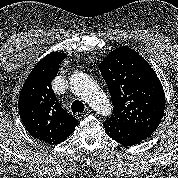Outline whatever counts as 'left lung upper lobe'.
I'll return each instance as SVG.
<instances>
[{
	"mask_svg": "<svg viewBox=\"0 0 178 178\" xmlns=\"http://www.w3.org/2000/svg\"><path fill=\"white\" fill-rule=\"evenodd\" d=\"M112 99L109 119L157 128L164 115L163 86L149 63L127 46L113 50L99 64Z\"/></svg>",
	"mask_w": 178,
	"mask_h": 178,
	"instance_id": "1",
	"label": "left lung upper lobe"
}]
</instances>
